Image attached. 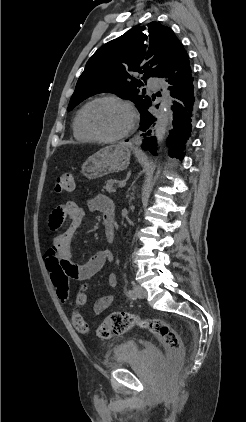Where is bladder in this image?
Masks as SVG:
<instances>
[{"mask_svg":"<svg viewBox=\"0 0 246 422\" xmlns=\"http://www.w3.org/2000/svg\"><path fill=\"white\" fill-rule=\"evenodd\" d=\"M140 355L141 348L136 341H122L112 348L111 366L120 368L137 363ZM150 359L154 367L157 369H163L166 365L165 355L159 349H154L151 351Z\"/></svg>","mask_w":246,"mask_h":422,"instance_id":"31cf9c89","label":"bladder"}]
</instances>
